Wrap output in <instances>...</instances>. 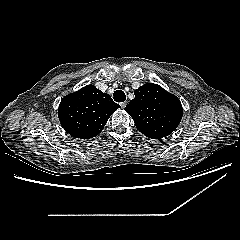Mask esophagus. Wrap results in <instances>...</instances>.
<instances>
[{
	"label": "esophagus",
	"mask_w": 240,
	"mask_h": 240,
	"mask_svg": "<svg viewBox=\"0 0 240 240\" xmlns=\"http://www.w3.org/2000/svg\"><path fill=\"white\" fill-rule=\"evenodd\" d=\"M126 105H127V102L125 101V102H121L120 103V106H121V108H125L126 107Z\"/></svg>",
	"instance_id": "obj_1"
}]
</instances>
